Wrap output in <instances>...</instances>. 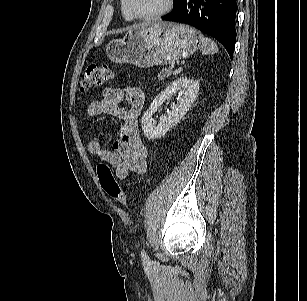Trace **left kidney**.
<instances>
[{
  "label": "left kidney",
  "instance_id": "obj_1",
  "mask_svg": "<svg viewBox=\"0 0 307 301\" xmlns=\"http://www.w3.org/2000/svg\"><path fill=\"white\" fill-rule=\"evenodd\" d=\"M199 82L197 80L180 77L173 81L164 91L158 94L149 109L142 117V130L144 135L150 139H158L164 136L174 127L189 111L199 92ZM179 92L181 97L177 104L171 105V111L167 115L160 117L159 124L152 122V115L159 109L163 102L170 99L173 94Z\"/></svg>",
  "mask_w": 307,
  "mask_h": 301
}]
</instances>
